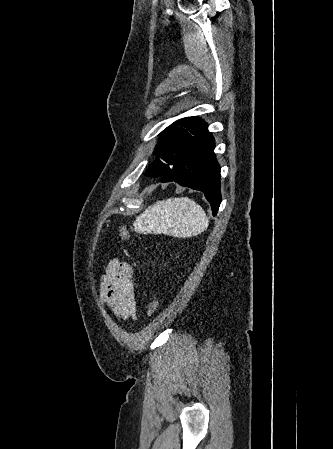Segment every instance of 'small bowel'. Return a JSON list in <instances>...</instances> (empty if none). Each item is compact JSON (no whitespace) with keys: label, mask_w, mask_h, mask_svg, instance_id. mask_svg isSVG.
<instances>
[{"label":"small bowel","mask_w":333,"mask_h":449,"mask_svg":"<svg viewBox=\"0 0 333 449\" xmlns=\"http://www.w3.org/2000/svg\"><path fill=\"white\" fill-rule=\"evenodd\" d=\"M101 297L120 319L136 317V283L132 267L118 259L105 267L101 284Z\"/></svg>","instance_id":"obj_1"}]
</instances>
